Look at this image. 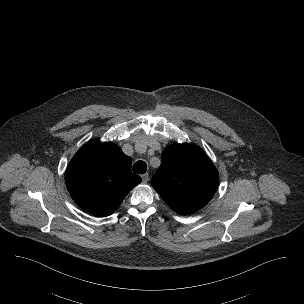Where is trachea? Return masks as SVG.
Returning <instances> with one entry per match:
<instances>
[{"label":"trachea","mask_w":304,"mask_h":304,"mask_svg":"<svg viewBox=\"0 0 304 304\" xmlns=\"http://www.w3.org/2000/svg\"><path fill=\"white\" fill-rule=\"evenodd\" d=\"M147 170V164L144 161H137L134 165H133V171L135 173L138 174H144Z\"/></svg>","instance_id":"3493384b"}]
</instances>
